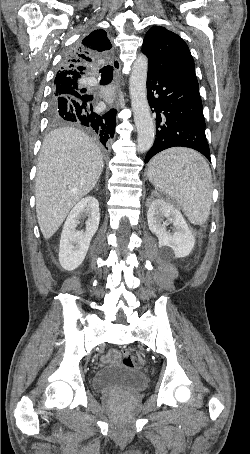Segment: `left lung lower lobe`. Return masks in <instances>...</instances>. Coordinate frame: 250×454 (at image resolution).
<instances>
[{"instance_id": "0a47b994", "label": "left lung lower lobe", "mask_w": 250, "mask_h": 454, "mask_svg": "<svg viewBox=\"0 0 250 454\" xmlns=\"http://www.w3.org/2000/svg\"><path fill=\"white\" fill-rule=\"evenodd\" d=\"M147 93L156 113V139L145 163L160 151L176 146L195 149L211 161L197 80L148 68Z\"/></svg>"}]
</instances>
